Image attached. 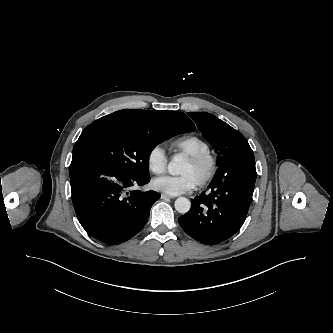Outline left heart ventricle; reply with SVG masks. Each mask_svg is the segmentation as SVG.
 I'll return each instance as SVG.
<instances>
[{"label":"left heart ventricle","instance_id":"b2bd125f","mask_svg":"<svg viewBox=\"0 0 333 333\" xmlns=\"http://www.w3.org/2000/svg\"><path fill=\"white\" fill-rule=\"evenodd\" d=\"M179 173L191 175L198 182L204 174V167L196 166L186 160L181 166Z\"/></svg>","mask_w":333,"mask_h":333}]
</instances>
